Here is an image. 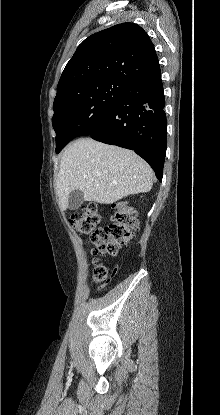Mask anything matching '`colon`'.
Here are the masks:
<instances>
[{"label": "colon", "mask_w": 220, "mask_h": 415, "mask_svg": "<svg viewBox=\"0 0 220 415\" xmlns=\"http://www.w3.org/2000/svg\"><path fill=\"white\" fill-rule=\"evenodd\" d=\"M102 221V213L94 204L85 205L79 214H73L68 218L73 230L89 237L95 254L115 256L136 233L138 229L136 214L130 206L120 201L113 206L110 223L100 228ZM107 276L106 266L97 265L94 268L93 280L96 283H103Z\"/></svg>", "instance_id": "1"}]
</instances>
